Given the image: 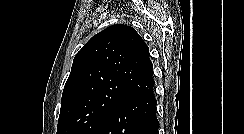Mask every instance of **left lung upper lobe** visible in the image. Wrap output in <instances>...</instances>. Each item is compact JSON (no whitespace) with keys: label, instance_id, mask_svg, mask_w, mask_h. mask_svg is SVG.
I'll return each instance as SVG.
<instances>
[{"label":"left lung upper lobe","instance_id":"1","mask_svg":"<svg viewBox=\"0 0 244 134\" xmlns=\"http://www.w3.org/2000/svg\"><path fill=\"white\" fill-rule=\"evenodd\" d=\"M149 48L127 25L94 35L76 54L64 86L57 134H98L122 103L151 92Z\"/></svg>","mask_w":244,"mask_h":134}]
</instances>
